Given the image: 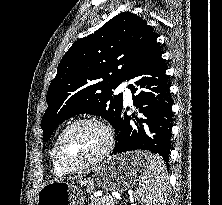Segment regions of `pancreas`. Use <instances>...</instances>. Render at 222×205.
Instances as JSON below:
<instances>
[{"label":"pancreas","instance_id":"pancreas-1","mask_svg":"<svg viewBox=\"0 0 222 205\" xmlns=\"http://www.w3.org/2000/svg\"><path fill=\"white\" fill-rule=\"evenodd\" d=\"M118 201L113 196H103L101 198L91 199L89 205H117Z\"/></svg>","mask_w":222,"mask_h":205}]
</instances>
